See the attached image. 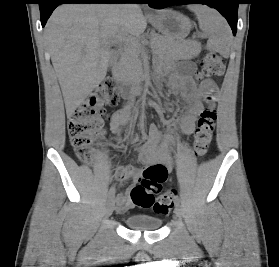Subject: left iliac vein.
<instances>
[{"label":"left iliac vein","instance_id":"obj_1","mask_svg":"<svg viewBox=\"0 0 279 267\" xmlns=\"http://www.w3.org/2000/svg\"><path fill=\"white\" fill-rule=\"evenodd\" d=\"M175 214L178 218H181L182 217V210L180 208V205L179 204H176V207H175Z\"/></svg>","mask_w":279,"mask_h":267}]
</instances>
